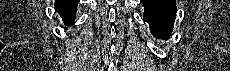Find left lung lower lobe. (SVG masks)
Here are the masks:
<instances>
[{
    "instance_id": "left-lung-lower-lobe-1",
    "label": "left lung lower lobe",
    "mask_w": 230,
    "mask_h": 71,
    "mask_svg": "<svg viewBox=\"0 0 230 71\" xmlns=\"http://www.w3.org/2000/svg\"><path fill=\"white\" fill-rule=\"evenodd\" d=\"M144 6L143 20L150 25L156 38L168 39L176 17V0H141Z\"/></svg>"
}]
</instances>
